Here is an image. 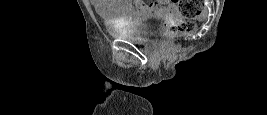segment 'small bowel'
Segmentation results:
<instances>
[{
  "label": "small bowel",
  "instance_id": "c3829d8e",
  "mask_svg": "<svg viewBox=\"0 0 267 115\" xmlns=\"http://www.w3.org/2000/svg\"><path fill=\"white\" fill-rule=\"evenodd\" d=\"M99 15L111 16L119 20H136L147 13L167 16L176 11V5L171 2H151L142 0H91Z\"/></svg>",
  "mask_w": 267,
  "mask_h": 115
}]
</instances>
